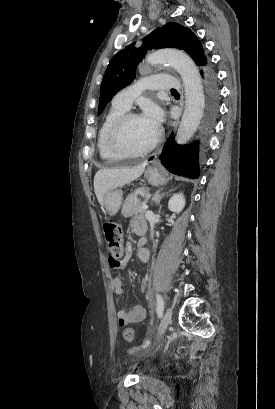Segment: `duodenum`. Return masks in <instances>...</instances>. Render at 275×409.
I'll return each instance as SVG.
<instances>
[{
    "instance_id": "obj_1",
    "label": "duodenum",
    "mask_w": 275,
    "mask_h": 409,
    "mask_svg": "<svg viewBox=\"0 0 275 409\" xmlns=\"http://www.w3.org/2000/svg\"><path fill=\"white\" fill-rule=\"evenodd\" d=\"M134 230H135V232H136L138 235H143V234L145 233V231H146V225H145V223H139V224H137V225L134 227Z\"/></svg>"
}]
</instances>
